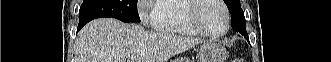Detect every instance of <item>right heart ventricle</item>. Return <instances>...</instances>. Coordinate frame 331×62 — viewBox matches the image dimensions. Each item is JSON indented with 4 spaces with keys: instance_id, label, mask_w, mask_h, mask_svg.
<instances>
[{
    "instance_id": "e07e8e85",
    "label": "right heart ventricle",
    "mask_w": 331,
    "mask_h": 62,
    "mask_svg": "<svg viewBox=\"0 0 331 62\" xmlns=\"http://www.w3.org/2000/svg\"><path fill=\"white\" fill-rule=\"evenodd\" d=\"M186 5L187 0H160L152 14L155 28L166 33L200 36L187 22Z\"/></svg>"
}]
</instances>
